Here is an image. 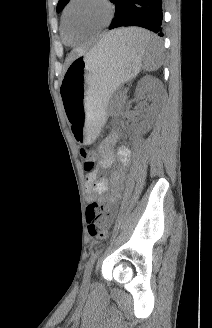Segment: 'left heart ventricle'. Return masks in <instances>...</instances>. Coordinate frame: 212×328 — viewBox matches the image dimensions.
Returning a JSON list of instances; mask_svg holds the SVG:
<instances>
[{
  "mask_svg": "<svg viewBox=\"0 0 212 328\" xmlns=\"http://www.w3.org/2000/svg\"><path fill=\"white\" fill-rule=\"evenodd\" d=\"M108 10L99 0H78L68 12L69 32L83 33L102 25Z\"/></svg>",
  "mask_w": 212,
  "mask_h": 328,
  "instance_id": "b2bd125f",
  "label": "left heart ventricle"
}]
</instances>
